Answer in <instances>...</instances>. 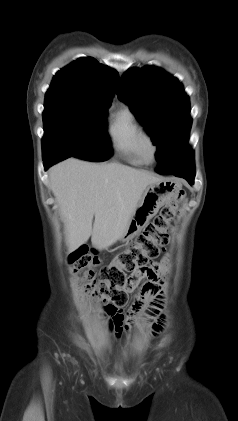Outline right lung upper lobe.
<instances>
[{
  "instance_id": "1",
  "label": "right lung upper lobe",
  "mask_w": 238,
  "mask_h": 421,
  "mask_svg": "<svg viewBox=\"0 0 238 421\" xmlns=\"http://www.w3.org/2000/svg\"><path fill=\"white\" fill-rule=\"evenodd\" d=\"M118 80L115 70L94 58H80L56 73L47 93L110 103Z\"/></svg>"
}]
</instances>
